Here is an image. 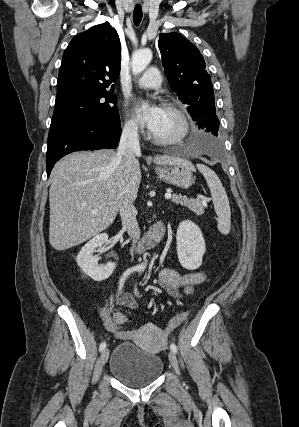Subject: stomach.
Masks as SVG:
<instances>
[{
  "mask_svg": "<svg viewBox=\"0 0 299 427\" xmlns=\"http://www.w3.org/2000/svg\"><path fill=\"white\" fill-rule=\"evenodd\" d=\"M155 171L161 180L176 187L187 189L194 183L193 170L185 167L164 166L155 168Z\"/></svg>",
  "mask_w": 299,
  "mask_h": 427,
  "instance_id": "0dacf381",
  "label": "stomach"
}]
</instances>
